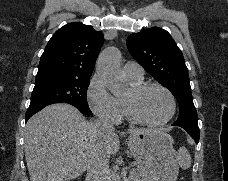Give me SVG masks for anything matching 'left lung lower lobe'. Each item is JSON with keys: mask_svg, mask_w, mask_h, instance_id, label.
I'll list each match as a JSON object with an SVG mask.
<instances>
[{"mask_svg": "<svg viewBox=\"0 0 228 181\" xmlns=\"http://www.w3.org/2000/svg\"><path fill=\"white\" fill-rule=\"evenodd\" d=\"M187 133L195 140L196 143L199 142V129H186Z\"/></svg>", "mask_w": 228, "mask_h": 181, "instance_id": "0a47b994", "label": "left lung lower lobe"}]
</instances>
